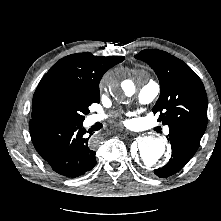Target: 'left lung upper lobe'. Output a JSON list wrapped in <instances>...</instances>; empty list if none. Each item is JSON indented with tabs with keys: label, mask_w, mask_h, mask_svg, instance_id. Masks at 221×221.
<instances>
[{
	"label": "left lung upper lobe",
	"mask_w": 221,
	"mask_h": 221,
	"mask_svg": "<svg viewBox=\"0 0 221 221\" xmlns=\"http://www.w3.org/2000/svg\"><path fill=\"white\" fill-rule=\"evenodd\" d=\"M157 74L161 94L153 111L170 127L186 128L201 135L207 126V95L197 74L182 60L161 50L147 49L135 56Z\"/></svg>",
	"instance_id": "left-lung-upper-lobe-1"
}]
</instances>
